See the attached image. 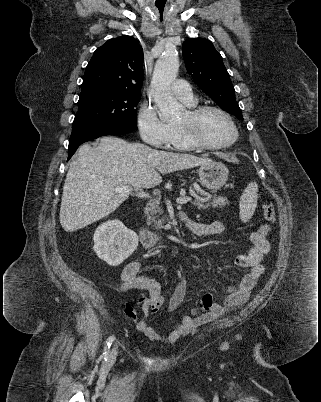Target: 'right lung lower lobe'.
Returning <instances> with one entry per match:
<instances>
[{
	"label": "right lung lower lobe",
	"instance_id": "right-lung-lower-lobe-1",
	"mask_svg": "<svg viewBox=\"0 0 321 402\" xmlns=\"http://www.w3.org/2000/svg\"><path fill=\"white\" fill-rule=\"evenodd\" d=\"M136 126L126 123H83L73 125L69 140L68 160L84 142L105 135H121L136 130Z\"/></svg>",
	"mask_w": 321,
	"mask_h": 402
}]
</instances>
